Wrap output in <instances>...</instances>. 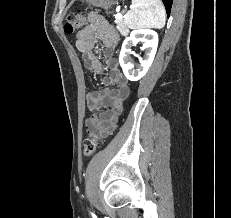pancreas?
I'll list each match as a JSON object with an SVG mask.
<instances>
[{
    "label": "pancreas",
    "mask_w": 231,
    "mask_h": 218,
    "mask_svg": "<svg viewBox=\"0 0 231 218\" xmlns=\"http://www.w3.org/2000/svg\"><path fill=\"white\" fill-rule=\"evenodd\" d=\"M115 24H116V27H117L118 31L121 33V35H123V36L128 35L129 30H128V28H127V26L124 23V20L122 18L121 19H116Z\"/></svg>",
    "instance_id": "obj_1"
}]
</instances>
